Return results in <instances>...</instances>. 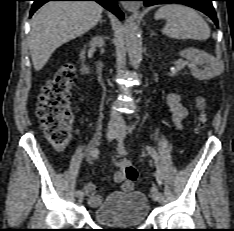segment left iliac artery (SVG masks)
Listing matches in <instances>:
<instances>
[{
	"instance_id": "left-iliac-artery-1",
	"label": "left iliac artery",
	"mask_w": 234,
	"mask_h": 231,
	"mask_svg": "<svg viewBox=\"0 0 234 231\" xmlns=\"http://www.w3.org/2000/svg\"><path fill=\"white\" fill-rule=\"evenodd\" d=\"M135 128V125H132L130 128H129V133H132V131L134 130ZM148 153L151 155V157L153 158L154 162H155V165H156V179H157V182L159 184V186H161L162 184V171L160 169V165H159V156H158V153L156 152V150L151 147V146H147L146 147ZM117 150L120 154H123V155H126L127 154V151L124 147V143H123V140L122 141H119L118 143V147H117ZM158 200L159 201H163L164 200V196L162 194V192H158Z\"/></svg>"
}]
</instances>
